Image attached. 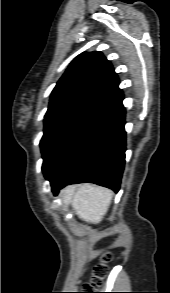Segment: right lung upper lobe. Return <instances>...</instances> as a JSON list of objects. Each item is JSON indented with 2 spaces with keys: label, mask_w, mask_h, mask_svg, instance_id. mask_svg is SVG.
Listing matches in <instances>:
<instances>
[{
  "label": "right lung upper lobe",
  "mask_w": 170,
  "mask_h": 293,
  "mask_svg": "<svg viewBox=\"0 0 170 293\" xmlns=\"http://www.w3.org/2000/svg\"><path fill=\"white\" fill-rule=\"evenodd\" d=\"M118 85L112 65L101 52L82 53L53 89L45 119L76 106L112 109L123 100Z\"/></svg>",
  "instance_id": "cb5924a9"
}]
</instances>
